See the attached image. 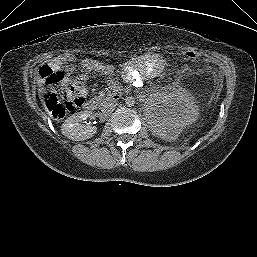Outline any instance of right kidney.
Segmentation results:
<instances>
[{
  "mask_svg": "<svg viewBox=\"0 0 257 257\" xmlns=\"http://www.w3.org/2000/svg\"><path fill=\"white\" fill-rule=\"evenodd\" d=\"M90 111H81L68 117L62 125L61 131L64 136L71 140L82 141L91 138L97 133V128L89 124H83L87 118H93Z\"/></svg>",
  "mask_w": 257,
  "mask_h": 257,
  "instance_id": "ca27d5eb",
  "label": "right kidney"
}]
</instances>
